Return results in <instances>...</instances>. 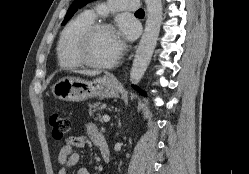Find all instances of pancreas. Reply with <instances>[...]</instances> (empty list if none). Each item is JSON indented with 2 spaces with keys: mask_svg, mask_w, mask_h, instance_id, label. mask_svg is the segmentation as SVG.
<instances>
[{
  "mask_svg": "<svg viewBox=\"0 0 249 174\" xmlns=\"http://www.w3.org/2000/svg\"><path fill=\"white\" fill-rule=\"evenodd\" d=\"M106 107L105 104H102L100 102H96V103H93V104H89V113L90 115H92L94 112L96 111H101L102 109H104ZM97 119H101V116L98 115V118Z\"/></svg>",
  "mask_w": 249,
  "mask_h": 174,
  "instance_id": "cf45deb5",
  "label": "pancreas"
}]
</instances>
